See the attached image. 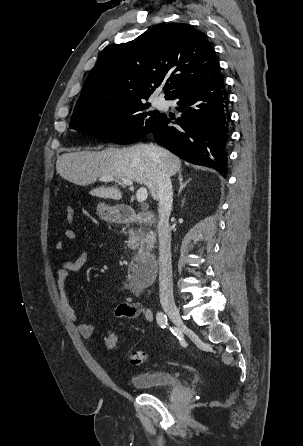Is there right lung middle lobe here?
<instances>
[{
  "label": "right lung middle lobe",
  "mask_w": 303,
  "mask_h": 446,
  "mask_svg": "<svg viewBox=\"0 0 303 446\" xmlns=\"http://www.w3.org/2000/svg\"><path fill=\"white\" fill-rule=\"evenodd\" d=\"M150 104L136 101L103 106L72 116L70 128L91 132L117 144L133 143L150 133L164 114L144 112Z\"/></svg>",
  "instance_id": "right-lung-middle-lobe-1"
}]
</instances>
